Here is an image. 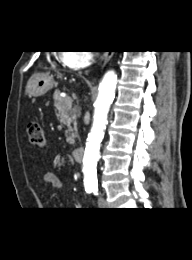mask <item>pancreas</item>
Instances as JSON below:
<instances>
[{
  "instance_id": "cf45deb5",
  "label": "pancreas",
  "mask_w": 192,
  "mask_h": 260,
  "mask_svg": "<svg viewBox=\"0 0 192 260\" xmlns=\"http://www.w3.org/2000/svg\"><path fill=\"white\" fill-rule=\"evenodd\" d=\"M53 99L57 118L60 119L61 122H64V124L68 127V130L65 132L66 141L69 144H74L77 130L76 119L80 116V110L78 107L69 108L66 105L67 98L61 97L59 91L54 93ZM72 124L74 126L73 128L71 126Z\"/></svg>"
}]
</instances>
